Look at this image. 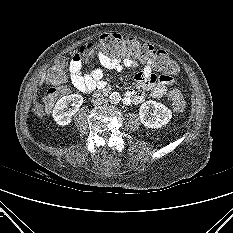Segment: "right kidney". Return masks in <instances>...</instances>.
I'll return each instance as SVG.
<instances>
[{"mask_svg": "<svg viewBox=\"0 0 233 233\" xmlns=\"http://www.w3.org/2000/svg\"><path fill=\"white\" fill-rule=\"evenodd\" d=\"M83 103V97L79 94H71L60 98L54 109L53 118L59 125H68L72 121L73 115L79 110ZM71 105L67 110L66 108Z\"/></svg>", "mask_w": 233, "mask_h": 233, "instance_id": "1", "label": "right kidney"}]
</instances>
